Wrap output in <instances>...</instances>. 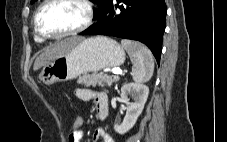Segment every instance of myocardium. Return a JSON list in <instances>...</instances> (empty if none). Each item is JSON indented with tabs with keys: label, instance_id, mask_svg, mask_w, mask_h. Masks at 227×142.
I'll list each match as a JSON object with an SVG mask.
<instances>
[{
	"label": "myocardium",
	"instance_id": "myocardium-1",
	"mask_svg": "<svg viewBox=\"0 0 227 142\" xmlns=\"http://www.w3.org/2000/svg\"><path fill=\"white\" fill-rule=\"evenodd\" d=\"M58 0H44V2L38 7L35 16H34V30L35 33L44 39H60L72 35H76L85 29H87L93 22L94 15H95V8L94 4L91 0H77L85 9V19L81 25H79L77 28L70 30L68 32L60 33V34H46L40 29L39 25V16L42 12V10L50 3L55 2Z\"/></svg>",
	"mask_w": 227,
	"mask_h": 142
}]
</instances>
